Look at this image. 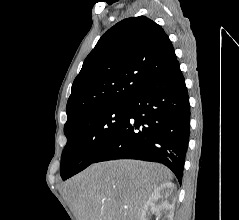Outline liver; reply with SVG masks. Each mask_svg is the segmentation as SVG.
Segmentation results:
<instances>
[{
  "label": "liver",
  "mask_w": 239,
  "mask_h": 220,
  "mask_svg": "<svg viewBox=\"0 0 239 220\" xmlns=\"http://www.w3.org/2000/svg\"><path fill=\"white\" fill-rule=\"evenodd\" d=\"M166 167L137 160L92 164L64 184L76 220H140L148 197L171 181Z\"/></svg>",
  "instance_id": "obj_1"
}]
</instances>
